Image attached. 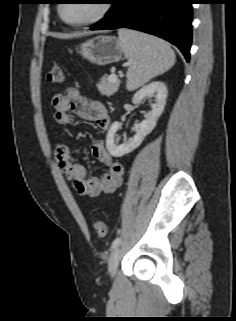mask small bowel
Instances as JSON below:
<instances>
[{
    "label": "small bowel",
    "instance_id": "small-bowel-1",
    "mask_svg": "<svg viewBox=\"0 0 236 321\" xmlns=\"http://www.w3.org/2000/svg\"><path fill=\"white\" fill-rule=\"evenodd\" d=\"M53 116L57 123L65 126L76 125L77 118L94 122L100 130H107L110 118L100 101L88 100L75 88H69L65 94L52 98ZM92 155L106 166V173L100 177L89 178L86 168L72 159V151L62 142L55 145L58 166L71 181L74 191L82 196L97 197L113 193L121 184L124 167L108 153L101 140L91 145Z\"/></svg>",
    "mask_w": 236,
    "mask_h": 321
}]
</instances>
